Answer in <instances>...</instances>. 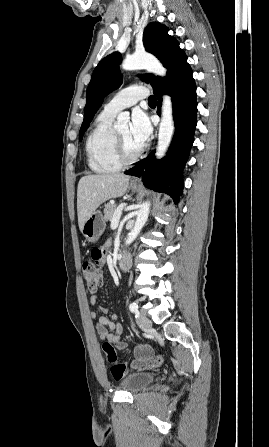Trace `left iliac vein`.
<instances>
[{
	"label": "left iliac vein",
	"mask_w": 269,
	"mask_h": 447,
	"mask_svg": "<svg viewBox=\"0 0 269 447\" xmlns=\"http://www.w3.org/2000/svg\"><path fill=\"white\" fill-rule=\"evenodd\" d=\"M137 324L142 327L144 330L150 328L152 323L150 319L145 315H139L137 319Z\"/></svg>",
	"instance_id": "obj_1"
}]
</instances>
